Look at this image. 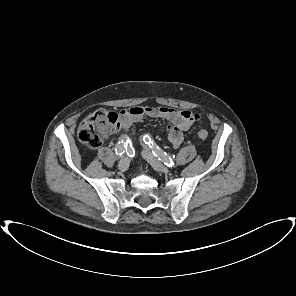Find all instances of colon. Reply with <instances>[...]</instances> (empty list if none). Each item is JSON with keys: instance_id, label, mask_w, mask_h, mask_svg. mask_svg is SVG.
Instances as JSON below:
<instances>
[{"instance_id": "colon-1", "label": "colon", "mask_w": 296, "mask_h": 296, "mask_svg": "<svg viewBox=\"0 0 296 296\" xmlns=\"http://www.w3.org/2000/svg\"><path fill=\"white\" fill-rule=\"evenodd\" d=\"M195 119L199 115L195 114ZM119 127V116L116 112L99 109L86 117L78 127V139L89 146L97 148L102 144L103 138ZM197 136L200 140L208 137L206 130H199Z\"/></svg>"}]
</instances>
